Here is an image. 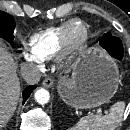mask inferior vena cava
Segmentation results:
<instances>
[{"instance_id":"inferior-vena-cava-1","label":"inferior vena cava","mask_w":130,"mask_h":130,"mask_svg":"<svg viewBox=\"0 0 130 130\" xmlns=\"http://www.w3.org/2000/svg\"><path fill=\"white\" fill-rule=\"evenodd\" d=\"M21 74L28 84L38 83L41 77L39 68L34 64L28 63L21 65Z\"/></svg>"}]
</instances>
